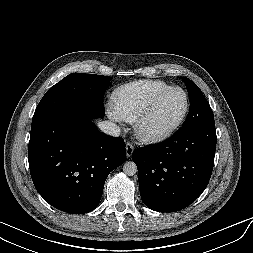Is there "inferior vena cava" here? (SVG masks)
I'll return each mask as SVG.
<instances>
[{"instance_id":"obj_1","label":"inferior vena cava","mask_w":253,"mask_h":253,"mask_svg":"<svg viewBox=\"0 0 253 253\" xmlns=\"http://www.w3.org/2000/svg\"><path fill=\"white\" fill-rule=\"evenodd\" d=\"M99 129L110 136L118 137L120 135V127L111 121H102L98 123Z\"/></svg>"}]
</instances>
